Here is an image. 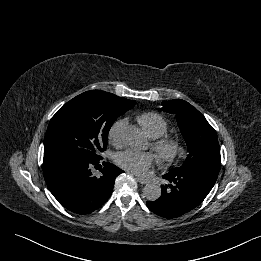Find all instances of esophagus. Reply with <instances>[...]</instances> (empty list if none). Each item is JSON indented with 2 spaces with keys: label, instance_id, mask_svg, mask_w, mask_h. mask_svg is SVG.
<instances>
[{
  "label": "esophagus",
  "instance_id": "obj_1",
  "mask_svg": "<svg viewBox=\"0 0 261 261\" xmlns=\"http://www.w3.org/2000/svg\"><path fill=\"white\" fill-rule=\"evenodd\" d=\"M137 181L141 184H147L149 183V180L146 178H142V177H136Z\"/></svg>",
  "mask_w": 261,
  "mask_h": 261
}]
</instances>
